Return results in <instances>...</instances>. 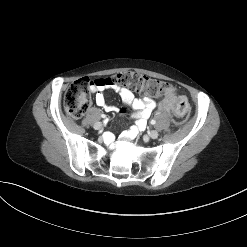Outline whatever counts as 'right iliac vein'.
<instances>
[{"instance_id": "right-iliac-vein-1", "label": "right iliac vein", "mask_w": 247, "mask_h": 247, "mask_svg": "<svg viewBox=\"0 0 247 247\" xmlns=\"http://www.w3.org/2000/svg\"><path fill=\"white\" fill-rule=\"evenodd\" d=\"M94 129H95V130H101V129H102V123L96 122V123L94 124Z\"/></svg>"}]
</instances>
